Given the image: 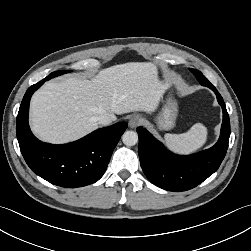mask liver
I'll return each instance as SVG.
<instances>
[{"instance_id":"liver-1","label":"liver","mask_w":251,"mask_h":251,"mask_svg":"<svg viewBox=\"0 0 251 251\" xmlns=\"http://www.w3.org/2000/svg\"><path fill=\"white\" fill-rule=\"evenodd\" d=\"M171 84L151 62H129L99 71L91 80L75 77L45 83L32 97L30 124L45 142L77 140L98 128L97 118L151 113Z\"/></svg>"}]
</instances>
